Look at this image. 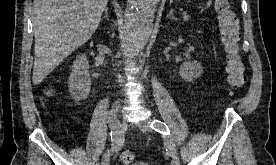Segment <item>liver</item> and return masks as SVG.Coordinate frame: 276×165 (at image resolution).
I'll use <instances>...</instances> for the list:
<instances>
[{
  "mask_svg": "<svg viewBox=\"0 0 276 165\" xmlns=\"http://www.w3.org/2000/svg\"><path fill=\"white\" fill-rule=\"evenodd\" d=\"M107 3L108 0H34V85L91 38Z\"/></svg>",
  "mask_w": 276,
  "mask_h": 165,
  "instance_id": "1",
  "label": "liver"
}]
</instances>
